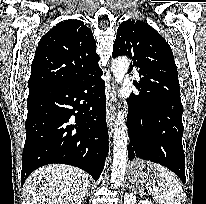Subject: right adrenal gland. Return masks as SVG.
<instances>
[{
	"instance_id": "1",
	"label": "right adrenal gland",
	"mask_w": 206,
	"mask_h": 204,
	"mask_svg": "<svg viewBox=\"0 0 206 204\" xmlns=\"http://www.w3.org/2000/svg\"><path fill=\"white\" fill-rule=\"evenodd\" d=\"M89 190H90V186H89V188H88V190H87V193H86V196H85V201H86V198L89 196ZM84 201V200H83Z\"/></svg>"
}]
</instances>
